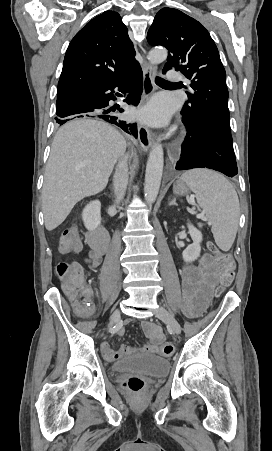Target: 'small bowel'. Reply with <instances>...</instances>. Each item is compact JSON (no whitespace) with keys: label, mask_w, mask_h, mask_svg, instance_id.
I'll return each mask as SVG.
<instances>
[{"label":"small bowel","mask_w":272,"mask_h":451,"mask_svg":"<svg viewBox=\"0 0 272 451\" xmlns=\"http://www.w3.org/2000/svg\"><path fill=\"white\" fill-rule=\"evenodd\" d=\"M215 260L216 258L213 255L204 253L200 256L197 265L184 263L181 266L179 271L183 292L181 307L185 314L189 316H197L205 307L207 295L204 290V283L206 278L214 269ZM84 261L90 270H96L102 262V255L96 253L94 250H91L85 255ZM142 327L145 331L148 329L151 330L150 333L146 332L150 338L148 344L139 348L122 345L118 349L114 350L109 347L108 343H104L102 345V353L104 358L107 361H115L128 354L140 351H158V346L163 342V335L160 329L147 322L143 323Z\"/></svg>","instance_id":"1"}]
</instances>
